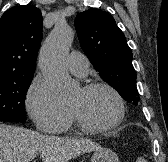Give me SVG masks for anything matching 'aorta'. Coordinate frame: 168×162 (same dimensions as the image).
Wrapping results in <instances>:
<instances>
[{"mask_svg": "<svg viewBox=\"0 0 168 162\" xmlns=\"http://www.w3.org/2000/svg\"><path fill=\"white\" fill-rule=\"evenodd\" d=\"M73 37L74 32L65 21L57 22L39 53L41 72L61 100L71 99L76 92V85L65 66Z\"/></svg>", "mask_w": 168, "mask_h": 162, "instance_id": "obj_1", "label": "aorta"}]
</instances>
